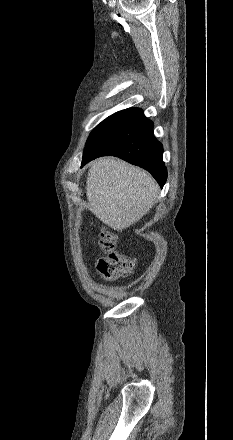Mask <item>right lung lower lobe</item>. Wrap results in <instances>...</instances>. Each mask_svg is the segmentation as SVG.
<instances>
[{
    "mask_svg": "<svg viewBox=\"0 0 233 440\" xmlns=\"http://www.w3.org/2000/svg\"><path fill=\"white\" fill-rule=\"evenodd\" d=\"M162 154V144L153 134V123L141 109L129 108L117 112L91 132L82 165L100 156H118L149 171L163 187L167 170Z\"/></svg>",
    "mask_w": 233,
    "mask_h": 440,
    "instance_id": "1",
    "label": "right lung lower lobe"
}]
</instances>
